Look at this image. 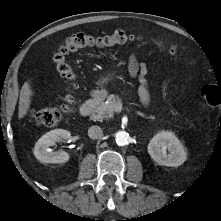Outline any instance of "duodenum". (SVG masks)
<instances>
[{
	"label": "duodenum",
	"instance_id": "1",
	"mask_svg": "<svg viewBox=\"0 0 221 221\" xmlns=\"http://www.w3.org/2000/svg\"><path fill=\"white\" fill-rule=\"evenodd\" d=\"M94 108V102L93 100L89 99L86 102H84L80 107V115L82 117H87L90 115Z\"/></svg>",
	"mask_w": 221,
	"mask_h": 221
}]
</instances>
